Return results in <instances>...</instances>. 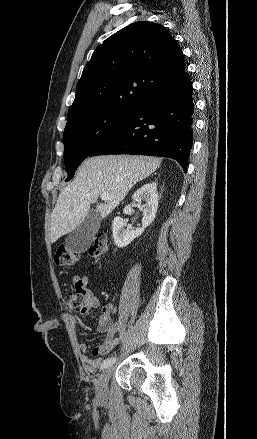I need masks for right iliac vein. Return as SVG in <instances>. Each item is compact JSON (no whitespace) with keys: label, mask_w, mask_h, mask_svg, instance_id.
I'll list each match as a JSON object with an SVG mask.
<instances>
[{"label":"right iliac vein","mask_w":257,"mask_h":439,"mask_svg":"<svg viewBox=\"0 0 257 439\" xmlns=\"http://www.w3.org/2000/svg\"><path fill=\"white\" fill-rule=\"evenodd\" d=\"M112 374V367L105 368L98 380L96 386V399L98 401H104L108 395V382Z\"/></svg>","instance_id":"right-iliac-vein-1"}]
</instances>
